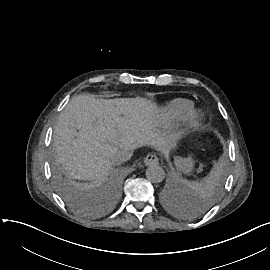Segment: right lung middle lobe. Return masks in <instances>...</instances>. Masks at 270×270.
<instances>
[{"label":"right lung middle lobe","instance_id":"dd1d6c3e","mask_svg":"<svg viewBox=\"0 0 270 270\" xmlns=\"http://www.w3.org/2000/svg\"><path fill=\"white\" fill-rule=\"evenodd\" d=\"M56 186L58 192L62 196V198L75 210L84 212V213H91L86 207L75 198L73 193L70 191L68 187V183L62 176L59 174L56 175Z\"/></svg>","mask_w":270,"mask_h":270}]
</instances>
